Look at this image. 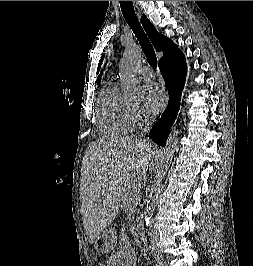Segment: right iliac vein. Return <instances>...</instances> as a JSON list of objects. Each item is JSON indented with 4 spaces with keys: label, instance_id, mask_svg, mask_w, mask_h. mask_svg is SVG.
Wrapping results in <instances>:
<instances>
[{
    "label": "right iliac vein",
    "instance_id": "63e3f726",
    "mask_svg": "<svg viewBox=\"0 0 253 266\" xmlns=\"http://www.w3.org/2000/svg\"><path fill=\"white\" fill-rule=\"evenodd\" d=\"M156 262L158 263L159 266H167V263L162 256H157Z\"/></svg>",
    "mask_w": 253,
    "mask_h": 266
}]
</instances>
